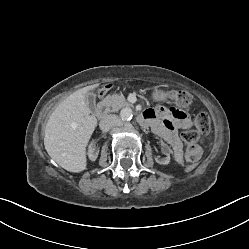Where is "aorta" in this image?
I'll list each match as a JSON object with an SVG mask.
<instances>
[{"mask_svg":"<svg viewBox=\"0 0 249 249\" xmlns=\"http://www.w3.org/2000/svg\"><path fill=\"white\" fill-rule=\"evenodd\" d=\"M120 116L123 121H129L132 119V110L130 108H125L121 111Z\"/></svg>","mask_w":249,"mask_h":249,"instance_id":"1","label":"aorta"}]
</instances>
